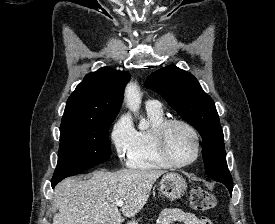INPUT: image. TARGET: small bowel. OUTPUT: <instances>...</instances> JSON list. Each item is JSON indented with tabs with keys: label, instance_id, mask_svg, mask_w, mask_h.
<instances>
[{
	"label": "small bowel",
	"instance_id": "obj_1",
	"mask_svg": "<svg viewBox=\"0 0 275 224\" xmlns=\"http://www.w3.org/2000/svg\"><path fill=\"white\" fill-rule=\"evenodd\" d=\"M157 224H212V222L205 216L198 217L177 208H167L160 213Z\"/></svg>",
	"mask_w": 275,
	"mask_h": 224
}]
</instances>
